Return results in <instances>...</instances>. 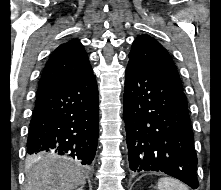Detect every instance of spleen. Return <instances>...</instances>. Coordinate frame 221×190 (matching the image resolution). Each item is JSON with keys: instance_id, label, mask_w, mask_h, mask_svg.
<instances>
[{"instance_id": "3e777b00", "label": "spleen", "mask_w": 221, "mask_h": 190, "mask_svg": "<svg viewBox=\"0 0 221 190\" xmlns=\"http://www.w3.org/2000/svg\"><path fill=\"white\" fill-rule=\"evenodd\" d=\"M158 190H188V188L176 179L164 177L159 179Z\"/></svg>"}]
</instances>
